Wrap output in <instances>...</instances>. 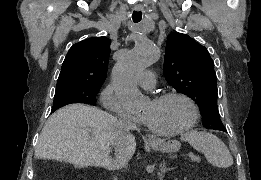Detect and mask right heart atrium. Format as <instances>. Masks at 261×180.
<instances>
[{
	"label": "right heart atrium",
	"mask_w": 261,
	"mask_h": 180,
	"mask_svg": "<svg viewBox=\"0 0 261 180\" xmlns=\"http://www.w3.org/2000/svg\"><path fill=\"white\" fill-rule=\"evenodd\" d=\"M118 98H116L114 87L112 84L107 85L101 93V103L104 108H112V112H116L118 117H124V120H129V125L125 127H133V122L126 113L124 105H120Z\"/></svg>",
	"instance_id": "1"
}]
</instances>
